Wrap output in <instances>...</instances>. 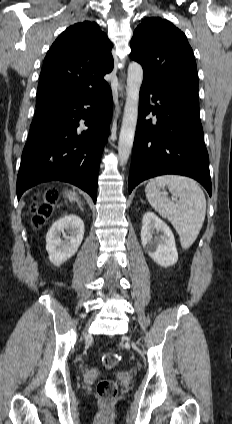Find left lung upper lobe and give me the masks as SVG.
Listing matches in <instances>:
<instances>
[{"instance_id": "left-lung-upper-lobe-1", "label": "left lung upper lobe", "mask_w": 232, "mask_h": 424, "mask_svg": "<svg viewBox=\"0 0 232 424\" xmlns=\"http://www.w3.org/2000/svg\"><path fill=\"white\" fill-rule=\"evenodd\" d=\"M131 58L142 65V85L159 91L189 90L198 93L193 51L184 33L171 22L147 18L135 29Z\"/></svg>"}]
</instances>
